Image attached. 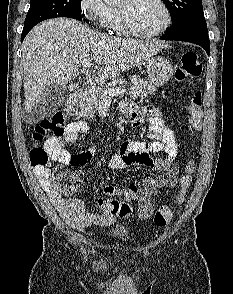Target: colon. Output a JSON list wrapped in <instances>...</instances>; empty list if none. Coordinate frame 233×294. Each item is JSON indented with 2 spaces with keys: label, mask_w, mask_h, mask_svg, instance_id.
Listing matches in <instances>:
<instances>
[{
  "label": "colon",
  "mask_w": 233,
  "mask_h": 294,
  "mask_svg": "<svg viewBox=\"0 0 233 294\" xmlns=\"http://www.w3.org/2000/svg\"><path fill=\"white\" fill-rule=\"evenodd\" d=\"M202 72L203 66L198 53L188 51L182 55L181 63L176 70V79L179 81L196 79L201 76ZM188 112L192 129L196 132L200 131L204 116L201 91H195L191 96ZM65 123V115L58 111L35 125L32 134L34 146L30 150V161L32 166L50 169L51 159L54 158L49 142L51 139L60 137L63 134ZM49 135H53V137L48 139L47 142L41 146L40 143ZM193 170V162L189 161L179 180V192L176 198L178 203H182L185 200L187 190L192 183ZM52 183L62 195H71L79 188L81 179L72 172L63 168H57L52 174ZM120 211L123 214H132L133 208L130 205L122 204L120 206ZM173 216V209L169 205L164 204L156 210L154 222L157 226L164 227L171 222Z\"/></svg>",
  "instance_id": "1"
}]
</instances>
